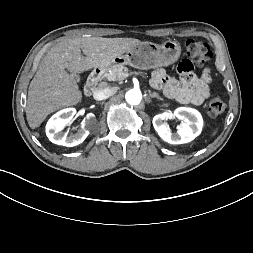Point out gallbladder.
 Here are the masks:
<instances>
[{
    "mask_svg": "<svg viewBox=\"0 0 253 253\" xmlns=\"http://www.w3.org/2000/svg\"><path fill=\"white\" fill-rule=\"evenodd\" d=\"M72 75H73V77L75 78V80L79 81V77H78L77 74L72 73Z\"/></svg>",
    "mask_w": 253,
    "mask_h": 253,
    "instance_id": "gallbladder-1",
    "label": "gallbladder"
}]
</instances>
